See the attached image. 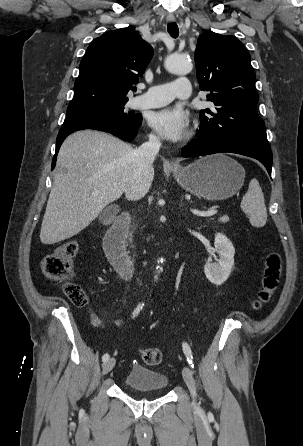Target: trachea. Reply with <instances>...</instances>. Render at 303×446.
<instances>
[{"mask_svg":"<svg viewBox=\"0 0 303 446\" xmlns=\"http://www.w3.org/2000/svg\"><path fill=\"white\" fill-rule=\"evenodd\" d=\"M167 30L173 38L178 37L179 30H178V26L176 23L173 22V23L167 24Z\"/></svg>","mask_w":303,"mask_h":446,"instance_id":"3493384b","label":"trachea"}]
</instances>
